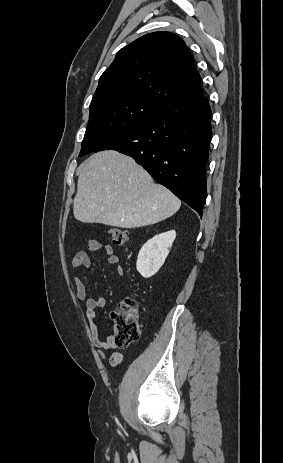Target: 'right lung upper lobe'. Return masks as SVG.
I'll return each instance as SVG.
<instances>
[{
	"label": "right lung upper lobe",
	"instance_id": "obj_1",
	"mask_svg": "<svg viewBox=\"0 0 283 463\" xmlns=\"http://www.w3.org/2000/svg\"><path fill=\"white\" fill-rule=\"evenodd\" d=\"M194 58L178 36L154 32L120 49L93 97L127 92L159 108L203 94Z\"/></svg>",
	"mask_w": 283,
	"mask_h": 463
}]
</instances>
